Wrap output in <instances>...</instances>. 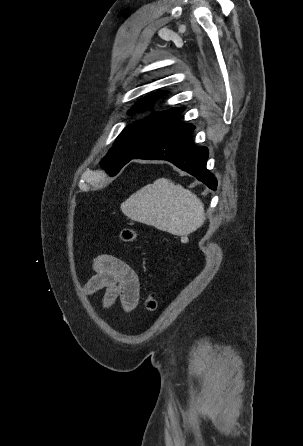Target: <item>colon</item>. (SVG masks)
<instances>
[{
	"label": "colon",
	"mask_w": 303,
	"mask_h": 446,
	"mask_svg": "<svg viewBox=\"0 0 303 446\" xmlns=\"http://www.w3.org/2000/svg\"><path fill=\"white\" fill-rule=\"evenodd\" d=\"M119 237L121 241L125 243H134L137 241L138 235L137 232L130 227H124L121 229ZM145 309L149 312H153L157 309L158 306V297L155 292H151L145 299L144 303Z\"/></svg>",
	"instance_id": "colon-1"
}]
</instances>
